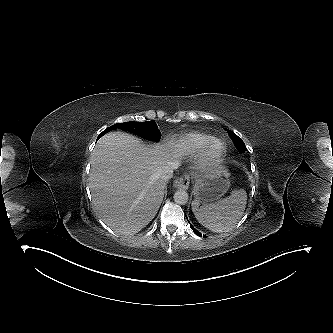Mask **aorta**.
<instances>
[{"instance_id":"762f6f07","label":"aorta","mask_w":333,"mask_h":333,"mask_svg":"<svg viewBox=\"0 0 333 333\" xmlns=\"http://www.w3.org/2000/svg\"><path fill=\"white\" fill-rule=\"evenodd\" d=\"M173 198H174L175 203L180 204V205H185L188 202L189 196L185 190L180 189L175 192Z\"/></svg>"}]
</instances>
